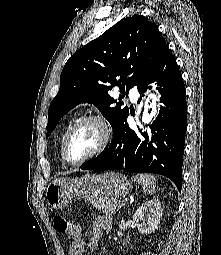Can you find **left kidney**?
<instances>
[{
    "mask_svg": "<svg viewBox=\"0 0 221 255\" xmlns=\"http://www.w3.org/2000/svg\"><path fill=\"white\" fill-rule=\"evenodd\" d=\"M161 203L158 199L150 200L137 209L133 221L142 234L154 233L162 217Z\"/></svg>",
    "mask_w": 221,
    "mask_h": 255,
    "instance_id": "obj_1",
    "label": "left kidney"
}]
</instances>
